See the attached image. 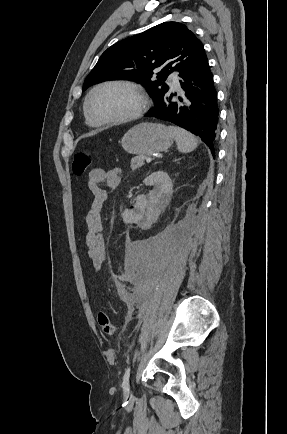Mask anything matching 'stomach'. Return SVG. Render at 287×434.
Segmentation results:
<instances>
[{"mask_svg": "<svg viewBox=\"0 0 287 434\" xmlns=\"http://www.w3.org/2000/svg\"><path fill=\"white\" fill-rule=\"evenodd\" d=\"M173 143V136L162 124L140 123L131 128L121 140L123 149L134 155L166 151Z\"/></svg>", "mask_w": 287, "mask_h": 434, "instance_id": "stomach-1", "label": "stomach"}]
</instances>
